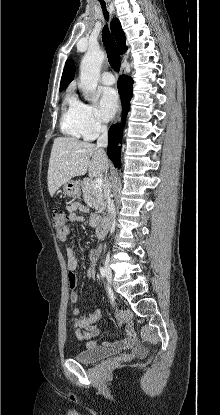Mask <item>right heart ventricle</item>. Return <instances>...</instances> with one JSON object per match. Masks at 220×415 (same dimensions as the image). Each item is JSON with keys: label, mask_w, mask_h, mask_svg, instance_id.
I'll use <instances>...</instances> for the list:
<instances>
[{"label": "right heart ventricle", "mask_w": 220, "mask_h": 415, "mask_svg": "<svg viewBox=\"0 0 220 415\" xmlns=\"http://www.w3.org/2000/svg\"><path fill=\"white\" fill-rule=\"evenodd\" d=\"M81 102L77 97L69 92L64 98L62 105V114L60 118L61 131L74 138H87L84 133V127L81 117Z\"/></svg>", "instance_id": "1"}]
</instances>
